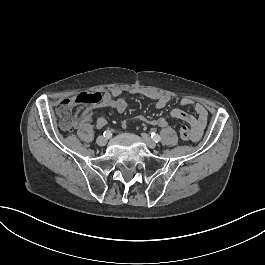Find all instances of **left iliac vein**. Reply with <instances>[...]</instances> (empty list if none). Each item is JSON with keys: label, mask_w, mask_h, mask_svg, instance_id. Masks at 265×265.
Here are the masks:
<instances>
[{"label": "left iliac vein", "mask_w": 265, "mask_h": 265, "mask_svg": "<svg viewBox=\"0 0 265 265\" xmlns=\"http://www.w3.org/2000/svg\"><path fill=\"white\" fill-rule=\"evenodd\" d=\"M142 139L149 148L151 149L156 148V143L154 142L153 139H151V137L148 134L142 133Z\"/></svg>", "instance_id": "left-iliac-vein-1"}]
</instances>
